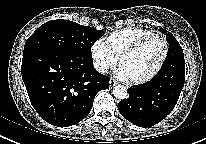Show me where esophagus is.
<instances>
[{
	"label": "esophagus",
	"instance_id": "34e87169",
	"mask_svg": "<svg viewBox=\"0 0 206 144\" xmlns=\"http://www.w3.org/2000/svg\"><path fill=\"white\" fill-rule=\"evenodd\" d=\"M116 85H117V82H116L114 79H111L110 82H109V86H110L111 88H113V87L116 86Z\"/></svg>",
	"mask_w": 206,
	"mask_h": 144
}]
</instances>
